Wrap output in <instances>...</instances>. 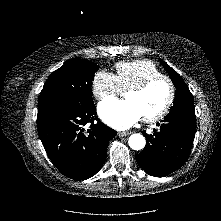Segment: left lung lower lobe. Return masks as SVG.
Masks as SVG:
<instances>
[{
  "label": "left lung lower lobe",
  "instance_id": "obj_1",
  "mask_svg": "<svg viewBox=\"0 0 221 221\" xmlns=\"http://www.w3.org/2000/svg\"><path fill=\"white\" fill-rule=\"evenodd\" d=\"M195 131V113L168 114L160 130H153V136L142 132L147 140L143 151L136 156L137 163L151 176L171 174L186 162Z\"/></svg>",
  "mask_w": 221,
  "mask_h": 221
}]
</instances>
